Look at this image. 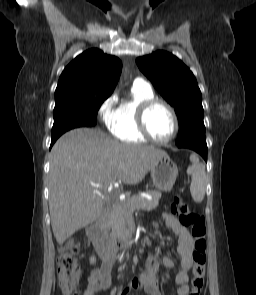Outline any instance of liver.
<instances>
[{
	"instance_id": "1",
	"label": "liver",
	"mask_w": 256,
	"mask_h": 295,
	"mask_svg": "<svg viewBox=\"0 0 256 295\" xmlns=\"http://www.w3.org/2000/svg\"><path fill=\"white\" fill-rule=\"evenodd\" d=\"M164 154L154 146L120 143L96 129L78 128L59 138L49 172V210L58 244L97 220L101 192L109 184L116 179L138 184Z\"/></svg>"
}]
</instances>
